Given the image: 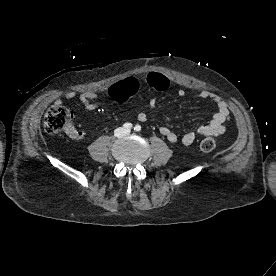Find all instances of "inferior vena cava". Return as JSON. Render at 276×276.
Here are the masks:
<instances>
[{"instance_id": "602c4592", "label": "inferior vena cava", "mask_w": 276, "mask_h": 276, "mask_svg": "<svg viewBox=\"0 0 276 276\" xmlns=\"http://www.w3.org/2000/svg\"><path fill=\"white\" fill-rule=\"evenodd\" d=\"M116 135H117V136H121V135H122V133H117Z\"/></svg>"}]
</instances>
